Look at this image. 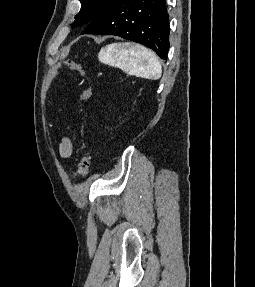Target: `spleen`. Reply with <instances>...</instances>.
I'll list each match as a JSON object with an SVG mask.
<instances>
[{
	"label": "spleen",
	"mask_w": 255,
	"mask_h": 287,
	"mask_svg": "<svg viewBox=\"0 0 255 287\" xmlns=\"http://www.w3.org/2000/svg\"><path fill=\"white\" fill-rule=\"evenodd\" d=\"M102 64L107 66H126L128 74H136L146 80H159L162 76L161 64L154 52L142 46L131 44H109L98 54Z\"/></svg>",
	"instance_id": "1"
}]
</instances>
